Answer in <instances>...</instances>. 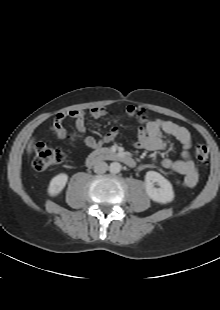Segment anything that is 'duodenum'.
<instances>
[{
	"mask_svg": "<svg viewBox=\"0 0 220 310\" xmlns=\"http://www.w3.org/2000/svg\"><path fill=\"white\" fill-rule=\"evenodd\" d=\"M102 160L121 162L131 168L135 166V160L131 156L120 151L105 148L90 153L86 159V163L88 165H94Z\"/></svg>",
	"mask_w": 220,
	"mask_h": 310,
	"instance_id": "obj_1",
	"label": "duodenum"
}]
</instances>
